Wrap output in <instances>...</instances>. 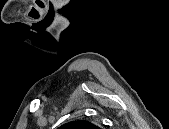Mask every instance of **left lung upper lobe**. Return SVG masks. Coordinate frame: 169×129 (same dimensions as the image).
Returning a JSON list of instances; mask_svg holds the SVG:
<instances>
[{"label":"left lung upper lobe","instance_id":"1","mask_svg":"<svg viewBox=\"0 0 169 129\" xmlns=\"http://www.w3.org/2000/svg\"><path fill=\"white\" fill-rule=\"evenodd\" d=\"M61 129H98V126L88 121H72L60 127Z\"/></svg>","mask_w":169,"mask_h":129}]
</instances>
